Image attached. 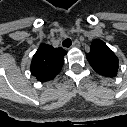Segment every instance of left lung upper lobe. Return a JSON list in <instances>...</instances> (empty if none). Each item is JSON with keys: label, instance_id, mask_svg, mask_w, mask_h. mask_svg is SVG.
<instances>
[{"label": "left lung upper lobe", "instance_id": "left-lung-upper-lobe-1", "mask_svg": "<svg viewBox=\"0 0 127 127\" xmlns=\"http://www.w3.org/2000/svg\"><path fill=\"white\" fill-rule=\"evenodd\" d=\"M86 58L91 67L100 75L105 77L116 76L118 59L102 40H93Z\"/></svg>", "mask_w": 127, "mask_h": 127}]
</instances>
